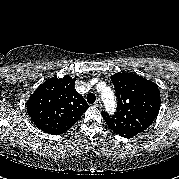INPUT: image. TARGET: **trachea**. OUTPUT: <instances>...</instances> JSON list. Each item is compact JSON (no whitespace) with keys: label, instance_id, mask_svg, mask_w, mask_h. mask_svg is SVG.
<instances>
[{"label":"trachea","instance_id":"obj_1","mask_svg":"<svg viewBox=\"0 0 179 179\" xmlns=\"http://www.w3.org/2000/svg\"><path fill=\"white\" fill-rule=\"evenodd\" d=\"M87 101L89 104H93L96 101V96L93 93L87 95Z\"/></svg>","mask_w":179,"mask_h":179}]
</instances>
